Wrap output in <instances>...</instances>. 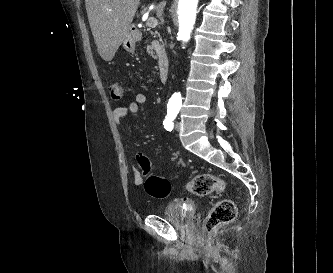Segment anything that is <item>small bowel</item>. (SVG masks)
I'll list each match as a JSON object with an SVG mask.
<instances>
[{
    "label": "small bowel",
    "instance_id": "obj_1",
    "mask_svg": "<svg viewBox=\"0 0 333 273\" xmlns=\"http://www.w3.org/2000/svg\"><path fill=\"white\" fill-rule=\"evenodd\" d=\"M148 101V96L145 93H138L135 95L134 100L128 105L117 106L113 110V120L116 125H120L122 119L127 116L136 115L140 107L146 104ZM140 154L137 155V161H139ZM140 168V167H139ZM133 183L135 186H142L144 184V174L142 171L136 167L132 168Z\"/></svg>",
    "mask_w": 333,
    "mask_h": 273
}]
</instances>
